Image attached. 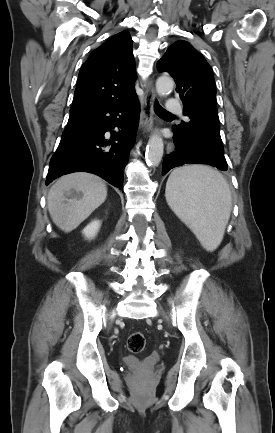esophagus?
<instances>
[{
	"instance_id": "1",
	"label": "esophagus",
	"mask_w": 275,
	"mask_h": 433,
	"mask_svg": "<svg viewBox=\"0 0 275 433\" xmlns=\"http://www.w3.org/2000/svg\"><path fill=\"white\" fill-rule=\"evenodd\" d=\"M155 100L156 92L153 80L152 78H148L145 83L144 101L141 111V129L146 133L151 132L153 129Z\"/></svg>"
}]
</instances>
